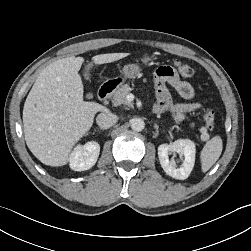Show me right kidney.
<instances>
[{
    "label": "right kidney",
    "mask_w": 251,
    "mask_h": 251,
    "mask_svg": "<svg viewBox=\"0 0 251 251\" xmlns=\"http://www.w3.org/2000/svg\"><path fill=\"white\" fill-rule=\"evenodd\" d=\"M99 152L100 146L95 141L78 145L70 154V168L75 171H85L92 168L99 157Z\"/></svg>",
    "instance_id": "1"
}]
</instances>
